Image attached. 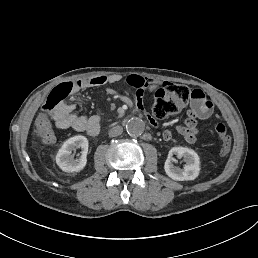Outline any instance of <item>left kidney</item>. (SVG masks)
<instances>
[{
  "instance_id": "1",
  "label": "left kidney",
  "mask_w": 258,
  "mask_h": 258,
  "mask_svg": "<svg viewBox=\"0 0 258 258\" xmlns=\"http://www.w3.org/2000/svg\"><path fill=\"white\" fill-rule=\"evenodd\" d=\"M174 155L183 159L185 163L183 168L174 166L172 163ZM199 164V156L193 150L187 147H173L165 161V171L174 180H192L198 176Z\"/></svg>"
}]
</instances>
